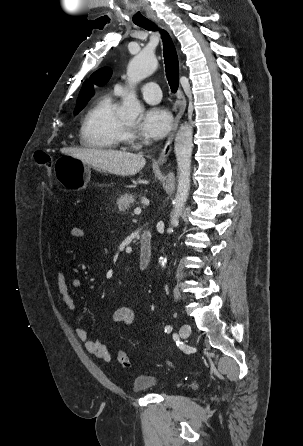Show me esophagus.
<instances>
[{"label": "esophagus", "mask_w": 303, "mask_h": 446, "mask_svg": "<svg viewBox=\"0 0 303 446\" xmlns=\"http://www.w3.org/2000/svg\"><path fill=\"white\" fill-rule=\"evenodd\" d=\"M154 21L158 24L161 23L160 20H158L157 18H154ZM179 95H180V108H179V111H178L174 121H173L172 128H171L170 134L167 138V141L164 145V148L158 158V164H160V165H163L167 161V159L171 153L172 142H173L176 130L178 128L179 122L185 112V109H186V99H185V96L183 95L181 89L179 90Z\"/></svg>", "instance_id": "1"}]
</instances>
